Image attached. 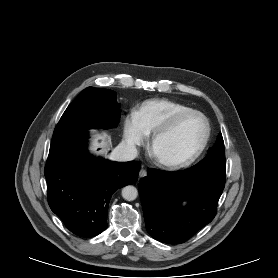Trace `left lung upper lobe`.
Wrapping results in <instances>:
<instances>
[{"label":"left lung upper lobe","mask_w":278,"mask_h":278,"mask_svg":"<svg viewBox=\"0 0 278 278\" xmlns=\"http://www.w3.org/2000/svg\"><path fill=\"white\" fill-rule=\"evenodd\" d=\"M191 168L221 175L226 174L224 141L221 133L213 147L208 150L206 157Z\"/></svg>","instance_id":"1"}]
</instances>
